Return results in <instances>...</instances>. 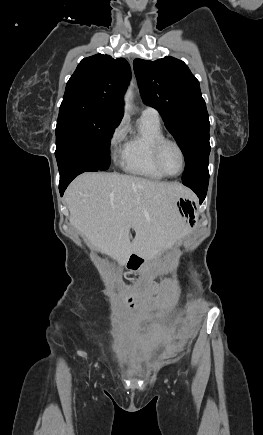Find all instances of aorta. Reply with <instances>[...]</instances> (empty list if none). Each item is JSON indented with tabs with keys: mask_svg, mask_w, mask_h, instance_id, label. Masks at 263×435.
I'll list each match as a JSON object with an SVG mask.
<instances>
[{
	"mask_svg": "<svg viewBox=\"0 0 263 435\" xmlns=\"http://www.w3.org/2000/svg\"><path fill=\"white\" fill-rule=\"evenodd\" d=\"M131 96H132V90H131V88H129L127 93L125 94V108L126 109L130 108Z\"/></svg>",
	"mask_w": 263,
	"mask_h": 435,
	"instance_id": "aorta-1",
	"label": "aorta"
}]
</instances>
